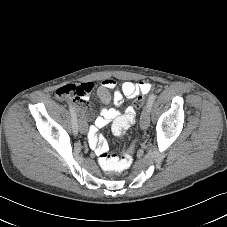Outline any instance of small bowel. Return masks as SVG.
<instances>
[{
    "instance_id": "small-bowel-1",
    "label": "small bowel",
    "mask_w": 227,
    "mask_h": 227,
    "mask_svg": "<svg viewBox=\"0 0 227 227\" xmlns=\"http://www.w3.org/2000/svg\"><path fill=\"white\" fill-rule=\"evenodd\" d=\"M76 86L80 88L82 94L72 99V107L79 113L81 125L86 128L89 145L99 157L103 153H108L109 146L105 138L98 135V129L112 122L113 133L121 135L124 130L135 123L136 112L133 107H129L124 113H121L116 108H102L100 114L95 118L94 124L87 128L86 123L90 117L85 103L93 89V83L85 82ZM150 89L151 84L146 81L138 83L125 81L121 84L120 88H117V83L114 79L105 78L102 80L97 94L101 102L108 103L112 100L116 106H120L124 98L130 99L139 94H146Z\"/></svg>"
}]
</instances>
